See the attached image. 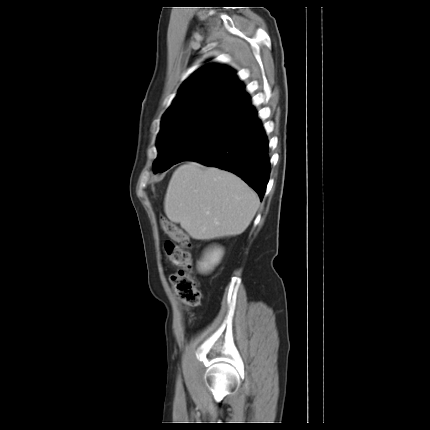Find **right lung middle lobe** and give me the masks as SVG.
<instances>
[{
    "mask_svg": "<svg viewBox=\"0 0 430 430\" xmlns=\"http://www.w3.org/2000/svg\"><path fill=\"white\" fill-rule=\"evenodd\" d=\"M240 116L223 101H210L195 107L182 108L162 119L158 135V158L154 173L164 172L185 161L231 128Z\"/></svg>",
    "mask_w": 430,
    "mask_h": 430,
    "instance_id": "1",
    "label": "right lung middle lobe"
}]
</instances>
